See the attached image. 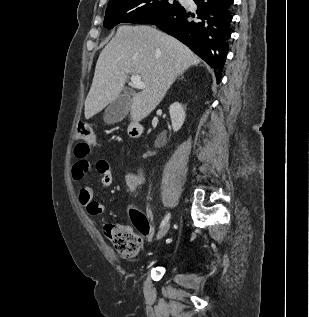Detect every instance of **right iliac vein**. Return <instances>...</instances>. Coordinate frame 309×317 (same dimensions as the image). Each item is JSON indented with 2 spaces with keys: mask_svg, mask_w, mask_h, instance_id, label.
<instances>
[{
  "mask_svg": "<svg viewBox=\"0 0 309 317\" xmlns=\"http://www.w3.org/2000/svg\"><path fill=\"white\" fill-rule=\"evenodd\" d=\"M169 227H170V224L166 223L157 233L156 239L160 240L161 238H163L167 234Z\"/></svg>",
  "mask_w": 309,
  "mask_h": 317,
  "instance_id": "right-iliac-vein-1",
  "label": "right iliac vein"
}]
</instances>
